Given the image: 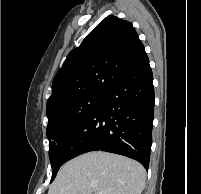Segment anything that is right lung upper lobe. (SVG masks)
Returning <instances> with one entry per match:
<instances>
[{"instance_id":"cb5924a9","label":"right lung upper lobe","mask_w":201,"mask_h":194,"mask_svg":"<svg viewBox=\"0 0 201 194\" xmlns=\"http://www.w3.org/2000/svg\"><path fill=\"white\" fill-rule=\"evenodd\" d=\"M145 58L144 46L132 24L107 16L68 54L58 70L47 114L69 102L104 95Z\"/></svg>"}]
</instances>
